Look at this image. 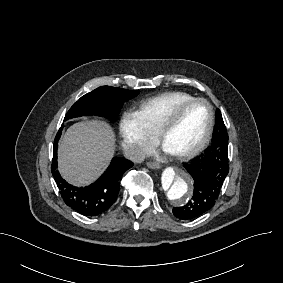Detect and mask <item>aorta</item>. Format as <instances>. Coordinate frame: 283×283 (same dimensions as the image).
I'll use <instances>...</instances> for the list:
<instances>
[{"instance_id": "1", "label": "aorta", "mask_w": 283, "mask_h": 283, "mask_svg": "<svg viewBox=\"0 0 283 283\" xmlns=\"http://www.w3.org/2000/svg\"><path fill=\"white\" fill-rule=\"evenodd\" d=\"M160 195L174 205H185L193 194V180L182 168L167 167L160 179Z\"/></svg>"}]
</instances>
